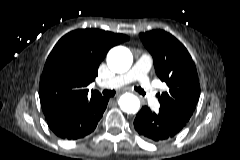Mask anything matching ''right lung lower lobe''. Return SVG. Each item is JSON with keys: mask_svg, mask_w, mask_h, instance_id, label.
<instances>
[{"mask_svg": "<svg viewBox=\"0 0 240 160\" xmlns=\"http://www.w3.org/2000/svg\"><path fill=\"white\" fill-rule=\"evenodd\" d=\"M108 98H92L77 108L68 109L47 120L49 128L60 138L76 140L96 128L107 107Z\"/></svg>", "mask_w": 240, "mask_h": 160, "instance_id": "right-lung-lower-lobe-1", "label": "right lung lower lobe"}]
</instances>
